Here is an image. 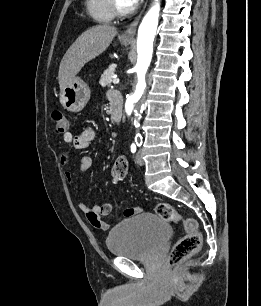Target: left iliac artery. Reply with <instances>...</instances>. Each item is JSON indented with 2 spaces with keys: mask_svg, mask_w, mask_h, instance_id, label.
I'll list each match as a JSON object with an SVG mask.
<instances>
[{
  "mask_svg": "<svg viewBox=\"0 0 261 306\" xmlns=\"http://www.w3.org/2000/svg\"><path fill=\"white\" fill-rule=\"evenodd\" d=\"M135 142H136L137 146H141V144H142V137H141L140 134L136 135ZM135 151H136V145L133 143L131 145V152L134 153Z\"/></svg>",
  "mask_w": 261,
  "mask_h": 306,
  "instance_id": "obj_1",
  "label": "left iliac artery"
}]
</instances>
